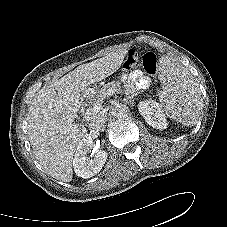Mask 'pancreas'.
<instances>
[{
    "label": "pancreas",
    "instance_id": "obj_1",
    "mask_svg": "<svg viewBox=\"0 0 227 227\" xmlns=\"http://www.w3.org/2000/svg\"><path fill=\"white\" fill-rule=\"evenodd\" d=\"M111 91V94L115 92H121L120 83L119 82H110L105 84L101 89L98 90H90L87 93V97L90 99V102L95 104L96 102H101Z\"/></svg>",
    "mask_w": 227,
    "mask_h": 227
}]
</instances>
